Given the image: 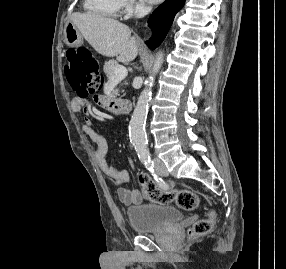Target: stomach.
Segmentation results:
<instances>
[{
  "label": "stomach",
  "instance_id": "0dacf381",
  "mask_svg": "<svg viewBox=\"0 0 286 269\" xmlns=\"http://www.w3.org/2000/svg\"><path fill=\"white\" fill-rule=\"evenodd\" d=\"M64 42L70 47H78L83 43V35L72 22L65 25Z\"/></svg>",
  "mask_w": 286,
  "mask_h": 269
}]
</instances>
